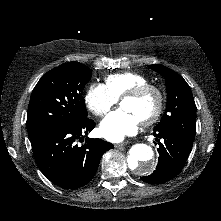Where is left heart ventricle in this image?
<instances>
[{"label":"left heart ventricle","mask_w":221,"mask_h":221,"mask_svg":"<svg viewBox=\"0 0 221 221\" xmlns=\"http://www.w3.org/2000/svg\"><path fill=\"white\" fill-rule=\"evenodd\" d=\"M157 104L154 93H148L140 98H128L121 102V107L133 113L140 121L150 116Z\"/></svg>","instance_id":"b2bd125f"}]
</instances>
